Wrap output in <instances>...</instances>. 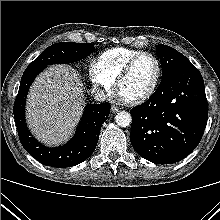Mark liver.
Segmentation results:
<instances>
[{
	"label": "liver",
	"instance_id": "obj_1",
	"mask_svg": "<svg viewBox=\"0 0 220 220\" xmlns=\"http://www.w3.org/2000/svg\"><path fill=\"white\" fill-rule=\"evenodd\" d=\"M84 87L76 70L49 67L33 82L26 102V120L34 136L47 145L65 141L78 123Z\"/></svg>",
	"mask_w": 220,
	"mask_h": 220
}]
</instances>
